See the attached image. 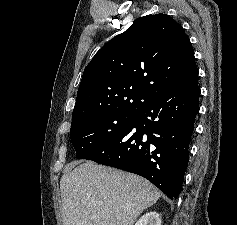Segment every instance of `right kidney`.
<instances>
[{
  "instance_id": "obj_1",
  "label": "right kidney",
  "mask_w": 237,
  "mask_h": 225,
  "mask_svg": "<svg viewBox=\"0 0 237 225\" xmlns=\"http://www.w3.org/2000/svg\"><path fill=\"white\" fill-rule=\"evenodd\" d=\"M135 225H161V218L155 211L144 214Z\"/></svg>"
}]
</instances>
